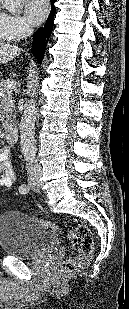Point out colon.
<instances>
[{
    "label": "colon",
    "mask_w": 129,
    "mask_h": 309,
    "mask_svg": "<svg viewBox=\"0 0 129 309\" xmlns=\"http://www.w3.org/2000/svg\"><path fill=\"white\" fill-rule=\"evenodd\" d=\"M50 229L60 231L61 229L52 223L43 222ZM67 237L72 242V247L76 252V256L66 260L62 264L63 273H71L83 268L91 259L93 253V236L90 228L86 225H79L67 232Z\"/></svg>",
    "instance_id": "1"
}]
</instances>
